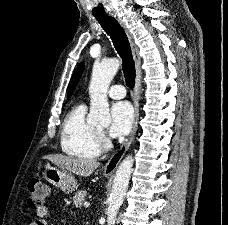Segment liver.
Here are the masks:
<instances>
[{
    "instance_id": "1",
    "label": "liver",
    "mask_w": 228,
    "mask_h": 225,
    "mask_svg": "<svg viewBox=\"0 0 228 225\" xmlns=\"http://www.w3.org/2000/svg\"><path fill=\"white\" fill-rule=\"evenodd\" d=\"M43 159H48V161L57 165L59 169H66V171H71L79 177H90L100 165L97 161L74 159V157H64V155H46Z\"/></svg>"
}]
</instances>
